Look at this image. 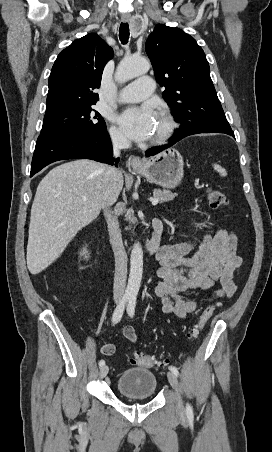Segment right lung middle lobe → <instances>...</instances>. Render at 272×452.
<instances>
[{
	"label": "right lung middle lobe",
	"mask_w": 272,
	"mask_h": 452,
	"mask_svg": "<svg viewBox=\"0 0 272 452\" xmlns=\"http://www.w3.org/2000/svg\"><path fill=\"white\" fill-rule=\"evenodd\" d=\"M92 106L86 105L45 114L40 135L104 132L107 130L105 121Z\"/></svg>",
	"instance_id": "1"
}]
</instances>
